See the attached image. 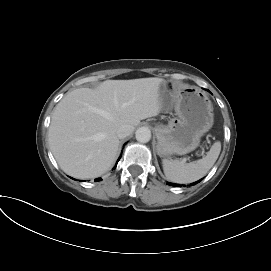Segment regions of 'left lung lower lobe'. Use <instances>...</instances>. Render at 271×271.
<instances>
[{
	"instance_id": "obj_1",
	"label": "left lung lower lobe",
	"mask_w": 271,
	"mask_h": 271,
	"mask_svg": "<svg viewBox=\"0 0 271 271\" xmlns=\"http://www.w3.org/2000/svg\"><path fill=\"white\" fill-rule=\"evenodd\" d=\"M200 181H201V180H199V181L193 183V185L196 184V183H198V182H200ZM167 184H168V185H171V186H179L178 184H172V183H167Z\"/></svg>"
}]
</instances>
